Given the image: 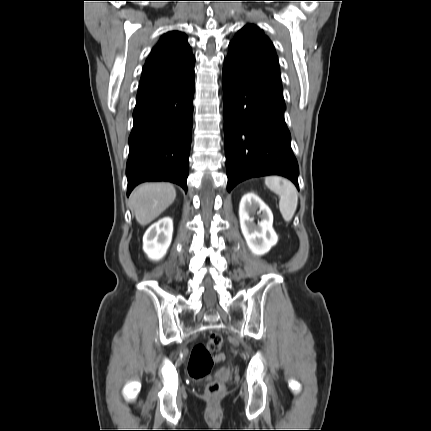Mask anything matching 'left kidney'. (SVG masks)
Wrapping results in <instances>:
<instances>
[{
	"mask_svg": "<svg viewBox=\"0 0 431 431\" xmlns=\"http://www.w3.org/2000/svg\"><path fill=\"white\" fill-rule=\"evenodd\" d=\"M261 214V221L254 223L253 215ZM242 234L248 248L257 256L269 252L276 245L278 236L273 229V214L270 208L254 193L245 194L239 205Z\"/></svg>",
	"mask_w": 431,
	"mask_h": 431,
	"instance_id": "1",
	"label": "left kidney"
}]
</instances>
